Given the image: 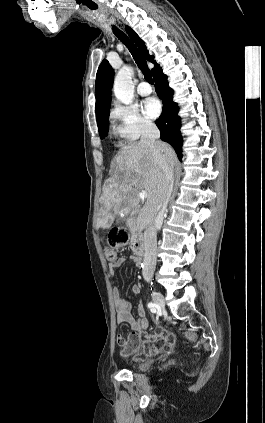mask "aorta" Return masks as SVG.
<instances>
[{
  "label": "aorta",
  "instance_id": "aorta-1",
  "mask_svg": "<svg viewBox=\"0 0 265 423\" xmlns=\"http://www.w3.org/2000/svg\"><path fill=\"white\" fill-rule=\"evenodd\" d=\"M133 68L130 66L122 67L114 80L115 97L123 104L129 105L133 102L134 86L132 83Z\"/></svg>",
  "mask_w": 265,
  "mask_h": 423
}]
</instances>
